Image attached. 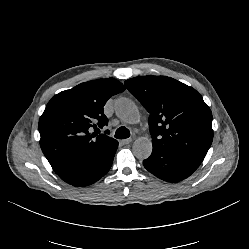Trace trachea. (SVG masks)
Listing matches in <instances>:
<instances>
[{
	"mask_svg": "<svg viewBox=\"0 0 249 249\" xmlns=\"http://www.w3.org/2000/svg\"><path fill=\"white\" fill-rule=\"evenodd\" d=\"M130 136V131L126 127H120L116 130L115 138L125 139Z\"/></svg>",
	"mask_w": 249,
	"mask_h": 249,
	"instance_id": "3493384b",
	"label": "trachea"
}]
</instances>
